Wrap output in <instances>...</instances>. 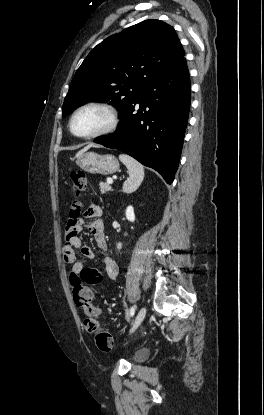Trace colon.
<instances>
[{"label": "colon", "mask_w": 264, "mask_h": 415, "mask_svg": "<svg viewBox=\"0 0 264 415\" xmlns=\"http://www.w3.org/2000/svg\"><path fill=\"white\" fill-rule=\"evenodd\" d=\"M87 186V177L83 171L74 170L70 174L68 187L70 190V214L65 227L67 235L77 233L76 223L79 218L80 204L77 195ZM103 274L95 267L84 269L80 274L69 275V285L75 304L81 308L85 315L84 327L94 334L97 347L102 351H109L112 348L111 335L100 327L99 309L91 302L92 294L87 290L88 286L101 283Z\"/></svg>", "instance_id": "1"}]
</instances>
